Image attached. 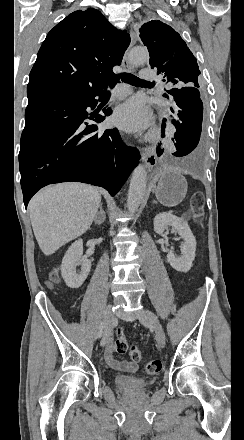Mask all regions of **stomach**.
Masks as SVG:
<instances>
[{"instance_id":"stomach-1","label":"stomach","mask_w":244,"mask_h":440,"mask_svg":"<svg viewBox=\"0 0 244 440\" xmlns=\"http://www.w3.org/2000/svg\"><path fill=\"white\" fill-rule=\"evenodd\" d=\"M156 198L163 206H178L187 194V180L178 170H161L157 174Z\"/></svg>"}]
</instances>
